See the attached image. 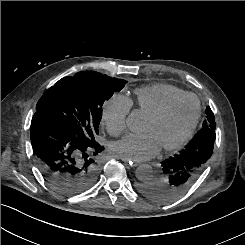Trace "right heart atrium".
Listing matches in <instances>:
<instances>
[{"mask_svg": "<svg viewBox=\"0 0 245 245\" xmlns=\"http://www.w3.org/2000/svg\"><path fill=\"white\" fill-rule=\"evenodd\" d=\"M132 107L131 100L123 95H112L102 107V121L109 133L118 136L126 130V120Z\"/></svg>", "mask_w": 245, "mask_h": 245, "instance_id": "obj_1", "label": "right heart atrium"}]
</instances>
